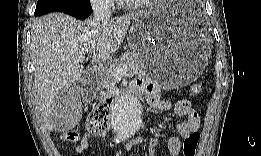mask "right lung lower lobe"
<instances>
[{
	"label": "right lung lower lobe",
	"instance_id": "right-lung-lower-lobe-1",
	"mask_svg": "<svg viewBox=\"0 0 261 156\" xmlns=\"http://www.w3.org/2000/svg\"><path fill=\"white\" fill-rule=\"evenodd\" d=\"M91 12H92L91 8L81 7L68 12V14L75 16L76 18L79 19H85L91 14Z\"/></svg>",
	"mask_w": 261,
	"mask_h": 156
}]
</instances>
